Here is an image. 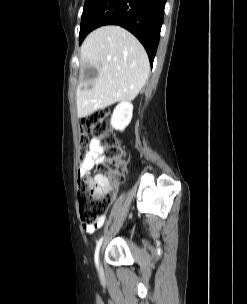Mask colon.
Here are the masks:
<instances>
[{
	"label": "colon",
	"mask_w": 247,
	"mask_h": 304,
	"mask_svg": "<svg viewBox=\"0 0 247 304\" xmlns=\"http://www.w3.org/2000/svg\"><path fill=\"white\" fill-rule=\"evenodd\" d=\"M110 120L111 114L106 109L96 110L82 120L81 157L87 155L91 139L98 140L106 153L94 177L83 176L79 179L78 199L84 225L95 224L104 215L115 199L117 186L125 178V150L121 141L112 132Z\"/></svg>",
	"instance_id": "1"
}]
</instances>
